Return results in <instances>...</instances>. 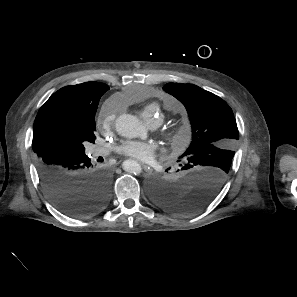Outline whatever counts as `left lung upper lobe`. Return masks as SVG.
<instances>
[{"label": "left lung upper lobe", "instance_id": "1", "mask_svg": "<svg viewBox=\"0 0 297 297\" xmlns=\"http://www.w3.org/2000/svg\"><path fill=\"white\" fill-rule=\"evenodd\" d=\"M163 89L184 104L192 124V142L180 158L188 165H212L227 174L239 139L228 104L192 84L168 83Z\"/></svg>", "mask_w": 297, "mask_h": 297}]
</instances>
